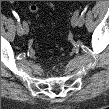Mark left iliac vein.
<instances>
[{"label":"left iliac vein","instance_id":"4c4485c4","mask_svg":"<svg viewBox=\"0 0 109 109\" xmlns=\"http://www.w3.org/2000/svg\"><path fill=\"white\" fill-rule=\"evenodd\" d=\"M80 11L79 10H76L72 16V19H71V24L73 27H76V26H80Z\"/></svg>","mask_w":109,"mask_h":109}]
</instances>
